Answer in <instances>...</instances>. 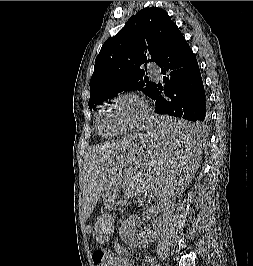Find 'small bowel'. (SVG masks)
Returning a JSON list of instances; mask_svg holds the SVG:
<instances>
[{"label":"small bowel","instance_id":"c3829d8e","mask_svg":"<svg viewBox=\"0 0 253 266\" xmlns=\"http://www.w3.org/2000/svg\"><path fill=\"white\" fill-rule=\"evenodd\" d=\"M116 250L122 255H126L128 251L122 247H117ZM145 266H154V261L151 257L147 256L144 260ZM119 266H133L130 260L127 258H121L119 261Z\"/></svg>","mask_w":253,"mask_h":266}]
</instances>
